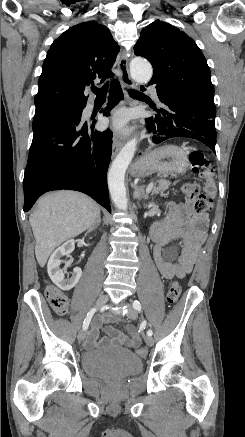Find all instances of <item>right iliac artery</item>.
I'll return each mask as SVG.
<instances>
[{
	"instance_id": "right-iliac-artery-1",
	"label": "right iliac artery",
	"mask_w": 245,
	"mask_h": 437,
	"mask_svg": "<svg viewBox=\"0 0 245 437\" xmlns=\"http://www.w3.org/2000/svg\"><path fill=\"white\" fill-rule=\"evenodd\" d=\"M96 310H97L96 308H92V309L88 312V314H87V316H86V318H85V320H84V322H83V330H87V329H88V326H89V324H90V321H91V319H92L94 313L96 312Z\"/></svg>"
}]
</instances>
